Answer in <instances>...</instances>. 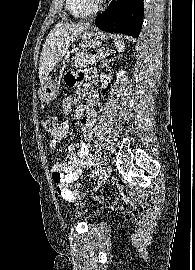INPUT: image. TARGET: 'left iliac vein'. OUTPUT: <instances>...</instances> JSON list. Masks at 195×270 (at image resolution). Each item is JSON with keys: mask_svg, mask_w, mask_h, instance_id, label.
<instances>
[{"mask_svg": "<svg viewBox=\"0 0 195 270\" xmlns=\"http://www.w3.org/2000/svg\"><path fill=\"white\" fill-rule=\"evenodd\" d=\"M111 173V167L110 166H105L100 174V177L98 179V183L95 187V189L97 190L99 187H101V185L108 179L109 174Z\"/></svg>", "mask_w": 195, "mask_h": 270, "instance_id": "left-iliac-vein-1", "label": "left iliac vein"}]
</instances>
